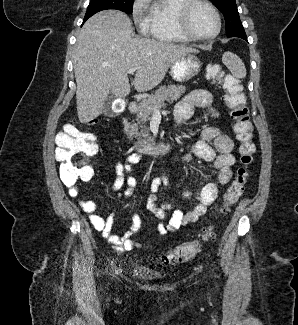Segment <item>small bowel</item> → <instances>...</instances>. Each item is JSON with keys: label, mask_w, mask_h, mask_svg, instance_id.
Listing matches in <instances>:
<instances>
[{"label": "small bowel", "mask_w": 298, "mask_h": 325, "mask_svg": "<svg viewBox=\"0 0 298 325\" xmlns=\"http://www.w3.org/2000/svg\"><path fill=\"white\" fill-rule=\"evenodd\" d=\"M213 104L214 100L210 92L203 89L192 91L176 106V124L179 125L190 119L195 107L206 109L213 118H217L219 113L214 108ZM200 137V140L192 146L190 152L181 157V160L190 162L194 158H200L207 162H212L214 168L218 171L217 178L215 181H203L195 194L190 190L184 191L183 194L186 198H192L195 201L193 209L188 213H183L181 210L173 208L171 203L158 202V191L166 187L169 183L166 174L163 173L152 179L150 194L146 199V207L157 219H159L157 230L161 236L166 235L168 232L177 231L190 223L196 222L204 216L208 206L216 200L219 193V187L229 183L232 179V166L235 163V157L232 154L234 146L232 139L214 126L203 128ZM209 142H213L214 146H211ZM141 159V154L131 153L124 161L116 163L115 170L117 177L112 186L113 190L119 191L123 189L126 197L132 196L137 181L131 173L134 166L138 164ZM69 194L72 197L78 196V187L76 185L70 186ZM80 206L88 215L93 228L100 232L102 237L111 243L116 251H131L135 247L141 246L132 239V236L138 233L142 226L141 218L137 213L132 217V224L129 230L122 237H119L111 233L114 222L113 213L106 219L102 218L96 214L97 206L95 202L91 200H81ZM169 212H171L170 215H168Z\"/></svg>", "instance_id": "small-bowel-1"}]
</instances>
